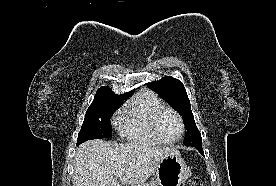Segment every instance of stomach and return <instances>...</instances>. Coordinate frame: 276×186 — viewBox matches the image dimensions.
Here are the masks:
<instances>
[{"instance_id": "stomach-1", "label": "stomach", "mask_w": 276, "mask_h": 186, "mask_svg": "<svg viewBox=\"0 0 276 186\" xmlns=\"http://www.w3.org/2000/svg\"><path fill=\"white\" fill-rule=\"evenodd\" d=\"M189 169L179 152L165 157L156 170L158 186H182L189 177Z\"/></svg>"}]
</instances>
